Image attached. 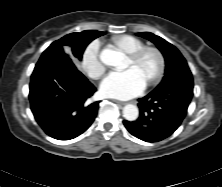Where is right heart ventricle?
Returning <instances> with one entry per match:
<instances>
[{
    "label": "right heart ventricle",
    "instance_id": "right-heart-ventricle-1",
    "mask_svg": "<svg viewBox=\"0 0 222 187\" xmlns=\"http://www.w3.org/2000/svg\"><path fill=\"white\" fill-rule=\"evenodd\" d=\"M111 41L119 50L127 55L144 46V42L141 39L131 35L115 36Z\"/></svg>",
    "mask_w": 222,
    "mask_h": 187
}]
</instances>
